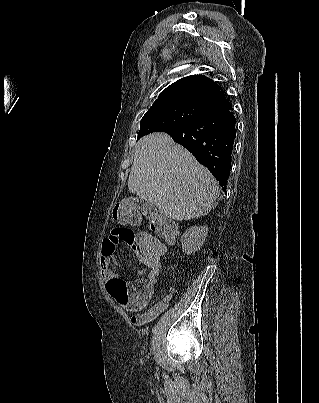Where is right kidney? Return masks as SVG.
I'll return each mask as SVG.
<instances>
[{
  "mask_svg": "<svg viewBox=\"0 0 319 403\" xmlns=\"http://www.w3.org/2000/svg\"><path fill=\"white\" fill-rule=\"evenodd\" d=\"M208 235L207 226H192L181 236L182 250L186 254L198 251L205 243Z\"/></svg>",
  "mask_w": 319,
  "mask_h": 403,
  "instance_id": "1",
  "label": "right kidney"
}]
</instances>
